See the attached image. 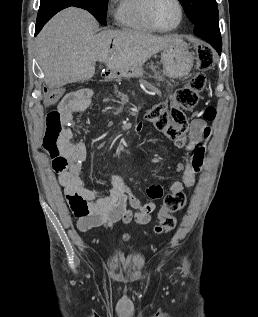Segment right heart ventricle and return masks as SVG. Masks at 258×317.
I'll list each match as a JSON object with an SVG mask.
<instances>
[{"label":"right heart ventricle","instance_id":"obj_1","mask_svg":"<svg viewBox=\"0 0 258 317\" xmlns=\"http://www.w3.org/2000/svg\"><path fill=\"white\" fill-rule=\"evenodd\" d=\"M149 2L150 0H119L115 9L116 24L127 31L145 34L156 32L146 17Z\"/></svg>","mask_w":258,"mask_h":317}]
</instances>
